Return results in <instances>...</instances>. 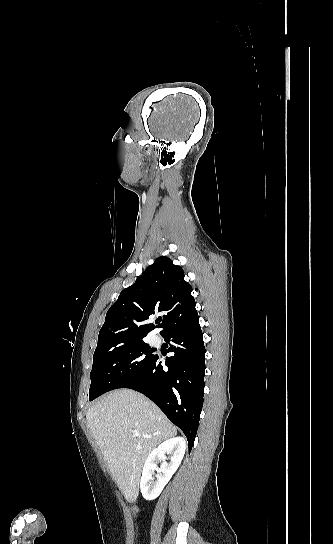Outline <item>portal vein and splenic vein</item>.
<instances>
[{
  "label": "portal vein and splenic vein",
  "mask_w": 333,
  "mask_h": 544,
  "mask_svg": "<svg viewBox=\"0 0 333 544\" xmlns=\"http://www.w3.org/2000/svg\"><path fill=\"white\" fill-rule=\"evenodd\" d=\"M133 435L136 436V437L141 436V434H140L139 431H137V430H134V431H133ZM142 437L148 438L149 436H148V435H142Z\"/></svg>",
  "instance_id": "18ae733b"
}]
</instances>
